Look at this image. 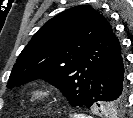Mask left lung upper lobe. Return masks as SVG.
I'll return each instance as SVG.
<instances>
[{"mask_svg":"<svg viewBox=\"0 0 133 118\" xmlns=\"http://www.w3.org/2000/svg\"><path fill=\"white\" fill-rule=\"evenodd\" d=\"M116 37L105 17L90 6H76L50 19L32 37L13 66L7 87L44 79L61 89L71 106H84L94 75ZM126 99L101 106L121 112Z\"/></svg>","mask_w":133,"mask_h":118,"instance_id":"left-lung-upper-lobe-1","label":"left lung upper lobe"}]
</instances>
